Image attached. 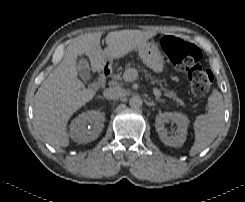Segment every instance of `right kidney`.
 Wrapping results in <instances>:
<instances>
[{"instance_id": "obj_1", "label": "right kidney", "mask_w": 245, "mask_h": 202, "mask_svg": "<svg viewBox=\"0 0 245 202\" xmlns=\"http://www.w3.org/2000/svg\"><path fill=\"white\" fill-rule=\"evenodd\" d=\"M104 113L91 110L71 121L70 137L77 143H88L98 138L104 127Z\"/></svg>"}]
</instances>
